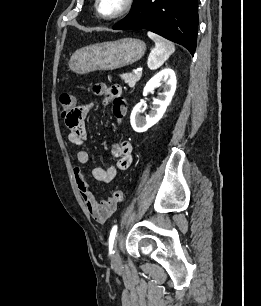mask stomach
<instances>
[{"label":"stomach","mask_w":261,"mask_h":306,"mask_svg":"<svg viewBox=\"0 0 261 306\" xmlns=\"http://www.w3.org/2000/svg\"><path fill=\"white\" fill-rule=\"evenodd\" d=\"M145 51L146 44L142 40L124 38L78 49L71 56L68 65L70 70L78 74L114 70L138 61Z\"/></svg>","instance_id":"0dacf381"}]
</instances>
